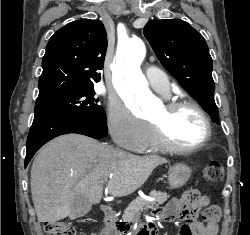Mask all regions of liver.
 I'll return each instance as SVG.
<instances>
[{
  "label": "liver",
  "mask_w": 250,
  "mask_h": 235,
  "mask_svg": "<svg viewBox=\"0 0 250 235\" xmlns=\"http://www.w3.org/2000/svg\"><path fill=\"white\" fill-rule=\"evenodd\" d=\"M159 156H136L80 134L59 136L45 145L31 168V194L39 222L55 223L70 215L84 196L90 205L102 198L103 184L112 196L140 188L159 165Z\"/></svg>",
  "instance_id": "obj_1"
}]
</instances>
